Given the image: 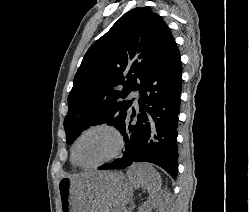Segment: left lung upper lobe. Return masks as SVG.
<instances>
[{"mask_svg": "<svg viewBox=\"0 0 249 212\" xmlns=\"http://www.w3.org/2000/svg\"><path fill=\"white\" fill-rule=\"evenodd\" d=\"M173 40L165 22L147 7L118 19L89 48L75 75L64 120L67 143L90 125L107 123L119 129L133 103L122 99L140 88Z\"/></svg>", "mask_w": 249, "mask_h": 212, "instance_id": "obj_1", "label": "left lung upper lobe"}]
</instances>
